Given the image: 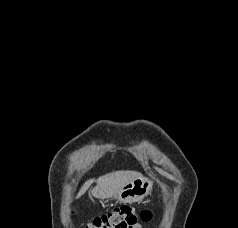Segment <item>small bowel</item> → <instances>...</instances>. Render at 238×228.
<instances>
[{"label":"small bowel","mask_w":238,"mask_h":228,"mask_svg":"<svg viewBox=\"0 0 238 228\" xmlns=\"http://www.w3.org/2000/svg\"><path fill=\"white\" fill-rule=\"evenodd\" d=\"M138 228H142V226L140 225Z\"/></svg>","instance_id":"1"}]
</instances>
